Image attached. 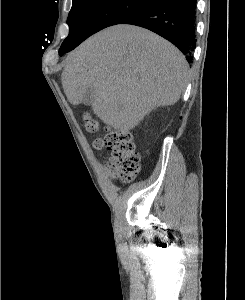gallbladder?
Masks as SVG:
<instances>
[{
    "instance_id": "bac80fb5",
    "label": "gallbladder",
    "mask_w": 245,
    "mask_h": 300,
    "mask_svg": "<svg viewBox=\"0 0 245 300\" xmlns=\"http://www.w3.org/2000/svg\"><path fill=\"white\" fill-rule=\"evenodd\" d=\"M94 89L93 88H89L85 95H84V100L83 102L86 104V105H90L93 101V98H94Z\"/></svg>"
}]
</instances>
